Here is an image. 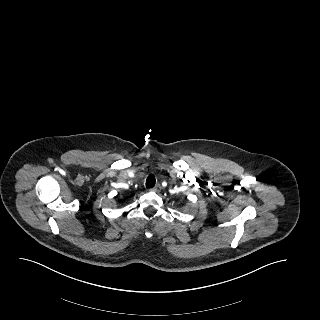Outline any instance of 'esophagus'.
<instances>
[{
  "label": "esophagus",
  "mask_w": 320,
  "mask_h": 320,
  "mask_svg": "<svg viewBox=\"0 0 320 320\" xmlns=\"http://www.w3.org/2000/svg\"><path fill=\"white\" fill-rule=\"evenodd\" d=\"M161 189V186L159 184H157L155 187L150 188L149 191L151 192H159Z\"/></svg>",
  "instance_id": "esophagus-1"
}]
</instances>
